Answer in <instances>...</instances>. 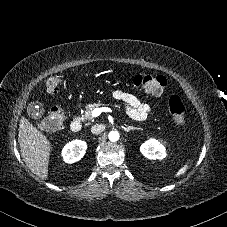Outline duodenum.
<instances>
[{
    "instance_id": "obj_1",
    "label": "duodenum",
    "mask_w": 227,
    "mask_h": 227,
    "mask_svg": "<svg viewBox=\"0 0 227 227\" xmlns=\"http://www.w3.org/2000/svg\"><path fill=\"white\" fill-rule=\"evenodd\" d=\"M70 128L73 132H80L82 129V120L79 116H75L70 123Z\"/></svg>"
}]
</instances>
